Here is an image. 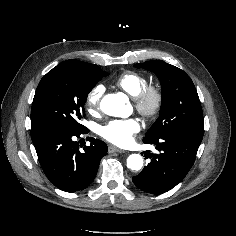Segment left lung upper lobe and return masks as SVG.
<instances>
[{"label":"left lung upper lobe","instance_id":"obj_1","mask_svg":"<svg viewBox=\"0 0 236 236\" xmlns=\"http://www.w3.org/2000/svg\"><path fill=\"white\" fill-rule=\"evenodd\" d=\"M154 72L162 85L160 116L145 137L182 131L204 135L201 103L190 77L181 69L162 60L135 64Z\"/></svg>","mask_w":236,"mask_h":236}]
</instances>
